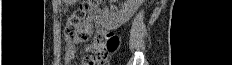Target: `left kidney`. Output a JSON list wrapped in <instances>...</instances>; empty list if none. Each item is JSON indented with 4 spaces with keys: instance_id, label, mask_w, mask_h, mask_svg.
<instances>
[{
    "instance_id": "5707ae66",
    "label": "left kidney",
    "mask_w": 232,
    "mask_h": 65,
    "mask_svg": "<svg viewBox=\"0 0 232 65\" xmlns=\"http://www.w3.org/2000/svg\"><path fill=\"white\" fill-rule=\"evenodd\" d=\"M140 4L141 0H126V3L116 12L104 9L102 12L104 26L112 30L125 24L134 15Z\"/></svg>"
}]
</instances>
